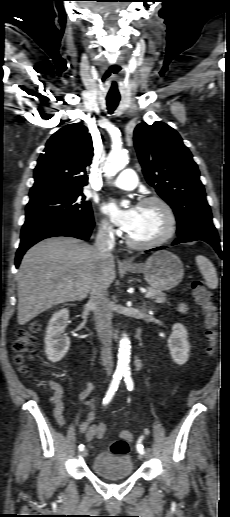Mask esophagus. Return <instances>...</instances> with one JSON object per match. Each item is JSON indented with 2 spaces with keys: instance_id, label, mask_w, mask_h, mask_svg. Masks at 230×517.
I'll return each instance as SVG.
<instances>
[{
  "instance_id": "obj_1",
  "label": "esophagus",
  "mask_w": 230,
  "mask_h": 517,
  "mask_svg": "<svg viewBox=\"0 0 230 517\" xmlns=\"http://www.w3.org/2000/svg\"><path fill=\"white\" fill-rule=\"evenodd\" d=\"M122 264H123V265H131V264H132V262H131L130 260H128V259H123V260H122Z\"/></svg>"
}]
</instances>
